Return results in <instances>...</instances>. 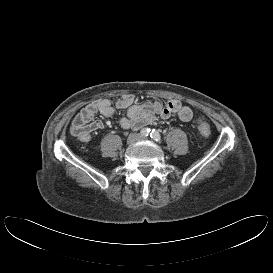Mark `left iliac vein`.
<instances>
[{"label":"left iliac vein","mask_w":273,"mask_h":273,"mask_svg":"<svg viewBox=\"0 0 273 273\" xmlns=\"http://www.w3.org/2000/svg\"><path fill=\"white\" fill-rule=\"evenodd\" d=\"M142 140L146 139L145 137H141Z\"/></svg>","instance_id":"1"}]
</instances>
